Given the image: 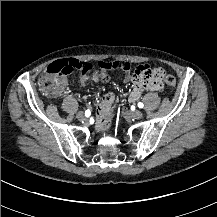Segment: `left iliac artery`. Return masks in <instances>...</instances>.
Instances as JSON below:
<instances>
[{"label":"left iliac artery","mask_w":217,"mask_h":217,"mask_svg":"<svg viewBox=\"0 0 217 217\" xmlns=\"http://www.w3.org/2000/svg\"><path fill=\"white\" fill-rule=\"evenodd\" d=\"M138 107H139V108H143V107H144V104H143L142 102H139V103H138Z\"/></svg>","instance_id":"1"}]
</instances>
